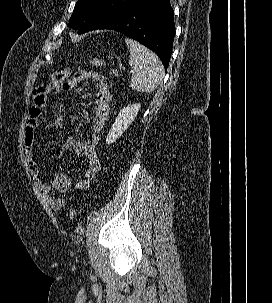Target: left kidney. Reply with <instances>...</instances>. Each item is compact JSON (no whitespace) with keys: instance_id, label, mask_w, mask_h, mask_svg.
Returning <instances> with one entry per match:
<instances>
[{"instance_id":"5707ae66","label":"left kidney","mask_w":272,"mask_h":303,"mask_svg":"<svg viewBox=\"0 0 272 303\" xmlns=\"http://www.w3.org/2000/svg\"><path fill=\"white\" fill-rule=\"evenodd\" d=\"M140 108L141 105L135 103V104H129L127 107L121 109L115 120V123L113 124V126L111 127V129L107 134L106 143L108 145L114 143L119 137L122 136V134L128 129L130 124L136 118Z\"/></svg>"}]
</instances>
